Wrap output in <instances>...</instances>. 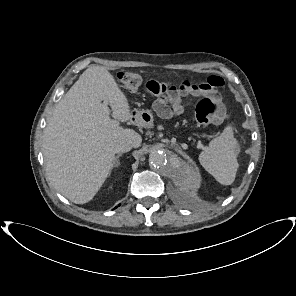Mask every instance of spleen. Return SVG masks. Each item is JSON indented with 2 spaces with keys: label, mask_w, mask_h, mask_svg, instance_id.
I'll return each instance as SVG.
<instances>
[{
  "label": "spleen",
  "mask_w": 296,
  "mask_h": 296,
  "mask_svg": "<svg viewBox=\"0 0 296 296\" xmlns=\"http://www.w3.org/2000/svg\"><path fill=\"white\" fill-rule=\"evenodd\" d=\"M237 148L233 129L227 126L200 153L199 162L219 183L230 185L234 182L239 167Z\"/></svg>",
  "instance_id": "3e777b00"
}]
</instances>
